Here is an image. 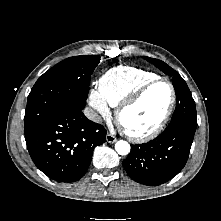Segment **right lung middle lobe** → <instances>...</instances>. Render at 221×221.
Returning a JSON list of instances; mask_svg holds the SVG:
<instances>
[{"mask_svg": "<svg viewBox=\"0 0 221 221\" xmlns=\"http://www.w3.org/2000/svg\"><path fill=\"white\" fill-rule=\"evenodd\" d=\"M100 61L98 55L67 58L45 72L28 96L25 135L64 111H82L86 105L91 74Z\"/></svg>", "mask_w": 221, "mask_h": 221, "instance_id": "right-lung-middle-lobe-1", "label": "right lung middle lobe"}]
</instances>
